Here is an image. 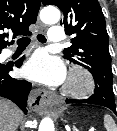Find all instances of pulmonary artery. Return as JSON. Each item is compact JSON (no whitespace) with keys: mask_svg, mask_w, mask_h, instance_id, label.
<instances>
[{"mask_svg":"<svg viewBox=\"0 0 117 131\" xmlns=\"http://www.w3.org/2000/svg\"><path fill=\"white\" fill-rule=\"evenodd\" d=\"M48 39L52 43H57L63 39V30L59 26H53L49 30Z\"/></svg>","mask_w":117,"mask_h":131,"instance_id":"1","label":"pulmonary artery"}]
</instances>
